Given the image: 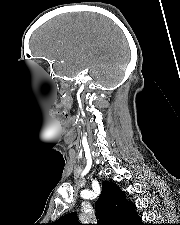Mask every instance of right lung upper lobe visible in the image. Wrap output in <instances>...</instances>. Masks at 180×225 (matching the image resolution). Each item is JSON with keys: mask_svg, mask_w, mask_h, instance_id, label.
Wrapping results in <instances>:
<instances>
[{"mask_svg": "<svg viewBox=\"0 0 180 225\" xmlns=\"http://www.w3.org/2000/svg\"><path fill=\"white\" fill-rule=\"evenodd\" d=\"M96 212L99 218L98 225H133L139 218L134 207L125 199V195L113 183L105 181L102 192L96 202ZM52 225H81L74 213L59 218Z\"/></svg>", "mask_w": 180, "mask_h": 225, "instance_id": "obj_1", "label": "right lung upper lobe"}]
</instances>
